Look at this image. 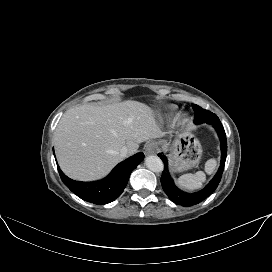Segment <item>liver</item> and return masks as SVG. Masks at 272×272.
<instances>
[{
    "label": "liver",
    "instance_id": "1",
    "mask_svg": "<svg viewBox=\"0 0 272 272\" xmlns=\"http://www.w3.org/2000/svg\"><path fill=\"white\" fill-rule=\"evenodd\" d=\"M163 132L151 107L133 100L113 104H85L67 110L54 134L57 159L72 179L94 181L118 164L119 151L129 154L139 144Z\"/></svg>",
    "mask_w": 272,
    "mask_h": 272
}]
</instances>
